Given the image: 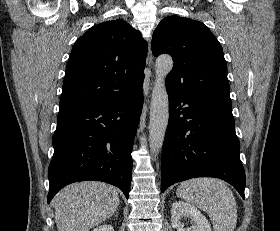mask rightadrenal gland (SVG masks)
Listing matches in <instances>:
<instances>
[{
	"instance_id": "1",
	"label": "right adrenal gland",
	"mask_w": 280,
	"mask_h": 231,
	"mask_svg": "<svg viewBox=\"0 0 280 231\" xmlns=\"http://www.w3.org/2000/svg\"><path fill=\"white\" fill-rule=\"evenodd\" d=\"M115 213H116V215H118L119 211H117V209H116Z\"/></svg>"
}]
</instances>
